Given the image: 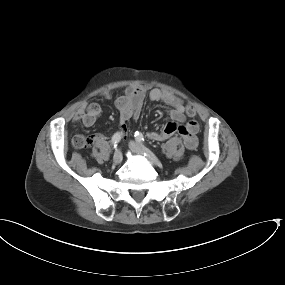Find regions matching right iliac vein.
Instances as JSON below:
<instances>
[{
    "label": "right iliac vein",
    "mask_w": 285,
    "mask_h": 285,
    "mask_svg": "<svg viewBox=\"0 0 285 285\" xmlns=\"http://www.w3.org/2000/svg\"><path fill=\"white\" fill-rule=\"evenodd\" d=\"M122 160H123L122 152L120 150H116L113 156V162L115 164H119L122 162Z\"/></svg>",
    "instance_id": "1"
}]
</instances>
